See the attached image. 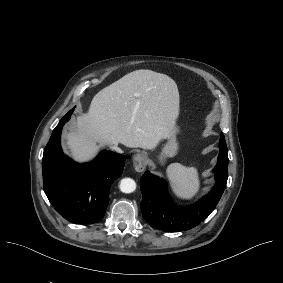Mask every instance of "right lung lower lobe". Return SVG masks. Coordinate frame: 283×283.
Returning a JSON list of instances; mask_svg holds the SVG:
<instances>
[{
  "label": "right lung lower lobe",
  "instance_id": "obj_1",
  "mask_svg": "<svg viewBox=\"0 0 283 283\" xmlns=\"http://www.w3.org/2000/svg\"><path fill=\"white\" fill-rule=\"evenodd\" d=\"M72 112L73 109L59 122L45 147L42 159L44 191L65 219L77 224H92L104 217L110 187L122 174L126 158L105 150L85 164L65 157L60 135Z\"/></svg>",
  "mask_w": 283,
  "mask_h": 283
}]
</instances>
